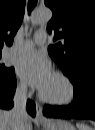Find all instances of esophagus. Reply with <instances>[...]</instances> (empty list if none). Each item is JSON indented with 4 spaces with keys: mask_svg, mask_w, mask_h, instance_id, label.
<instances>
[{
    "mask_svg": "<svg viewBox=\"0 0 95 130\" xmlns=\"http://www.w3.org/2000/svg\"><path fill=\"white\" fill-rule=\"evenodd\" d=\"M36 119L38 121L45 120V117L43 115L42 106L39 103H36Z\"/></svg>",
    "mask_w": 95,
    "mask_h": 130,
    "instance_id": "34e87169",
    "label": "esophagus"
}]
</instances>
